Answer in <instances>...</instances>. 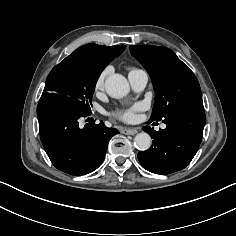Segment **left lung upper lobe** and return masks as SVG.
<instances>
[{"label": "left lung upper lobe", "mask_w": 236, "mask_h": 236, "mask_svg": "<svg viewBox=\"0 0 236 236\" xmlns=\"http://www.w3.org/2000/svg\"><path fill=\"white\" fill-rule=\"evenodd\" d=\"M131 54L149 73L155 90L151 121L164 119L170 111L202 102L199 82L188 66L170 49L154 45L130 46Z\"/></svg>", "instance_id": "obj_1"}]
</instances>
